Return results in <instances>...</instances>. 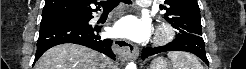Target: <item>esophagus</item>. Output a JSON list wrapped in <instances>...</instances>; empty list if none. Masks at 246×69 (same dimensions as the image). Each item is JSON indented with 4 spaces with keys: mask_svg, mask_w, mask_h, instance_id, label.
Instances as JSON below:
<instances>
[{
    "mask_svg": "<svg viewBox=\"0 0 246 69\" xmlns=\"http://www.w3.org/2000/svg\"><path fill=\"white\" fill-rule=\"evenodd\" d=\"M112 49L119 57L123 58H137L139 55L137 46L124 42L122 39H114Z\"/></svg>",
    "mask_w": 246,
    "mask_h": 69,
    "instance_id": "1",
    "label": "esophagus"
}]
</instances>
